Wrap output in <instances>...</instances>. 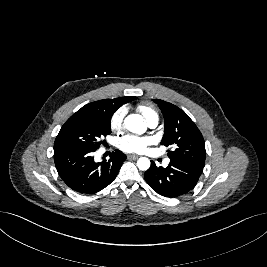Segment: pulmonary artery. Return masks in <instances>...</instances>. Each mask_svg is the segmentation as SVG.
<instances>
[{"label":"pulmonary artery","mask_w":267,"mask_h":267,"mask_svg":"<svg viewBox=\"0 0 267 267\" xmlns=\"http://www.w3.org/2000/svg\"><path fill=\"white\" fill-rule=\"evenodd\" d=\"M157 124H158V119H157V118L152 119V120H150V121L148 122V125H149L151 128L156 127ZM169 161H170V160H169L168 158H166V159L164 160V164L167 165V164L169 163Z\"/></svg>","instance_id":"obj_1"}]
</instances>
